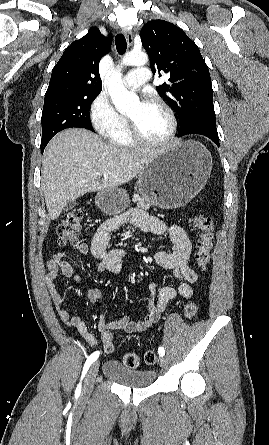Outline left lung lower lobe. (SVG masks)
<instances>
[{
  "instance_id": "0a47b994",
  "label": "left lung lower lobe",
  "mask_w": 269,
  "mask_h": 445,
  "mask_svg": "<svg viewBox=\"0 0 269 445\" xmlns=\"http://www.w3.org/2000/svg\"><path fill=\"white\" fill-rule=\"evenodd\" d=\"M187 134H199L208 137L219 147V137L216 129V123L203 122L191 125L183 132H179V137Z\"/></svg>"
}]
</instances>
